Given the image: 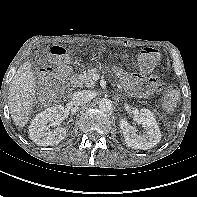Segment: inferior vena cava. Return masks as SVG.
I'll list each match as a JSON object with an SVG mask.
<instances>
[{
  "label": "inferior vena cava",
  "mask_w": 197,
  "mask_h": 197,
  "mask_svg": "<svg viewBox=\"0 0 197 197\" xmlns=\"http://www.w3.org/2000/svg\"><path fill=\"white\" fill-rule=\"evenodd\" d=\"M89 92L83 90V91H77L73 94V97L71 99V103L75 106H81L86 104L90 100Z\"/></svg>",
  "instance_id": "602c4592"
}]
</instances>
